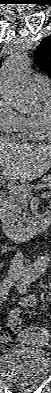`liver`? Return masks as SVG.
<instances>
[{"mask_svg":"<svg viewBox=\"0 0 51 393\" xmlns=\"http://www.w3.org/2000/svg\"><path fill=\"white\" fill-rule=\"evenodd\" d=\"M1 179L33 180L51 168V145H27L0 137Z\"/></svg>","mask_w":51,"mask_h":393,"instance_id":"liver-1","label":"liver"}]
</instances>
